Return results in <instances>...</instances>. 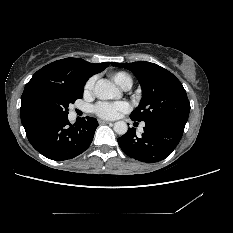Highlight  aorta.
Here are the masks:
<instances>
[{
	"instance_id": "762f6f07",
	"label": "aorta",
	"mask_w": 233,
	"mask_h": 233,
	"mask_svg": "<svg viewBox=\"0 0 233 233\" xmlns=\"http://www.w3.org/2000/svg\"><path fill=\"white\" fill-rule=\"evenodd\" d=\"M95 95L98 99L109 100L120 98L121 92L109 80L100 79L95 85ZM113 129L117 134L124 135L128 131V126L124 121H117L115 122Z\"/></svg>"
}]
</instances>
